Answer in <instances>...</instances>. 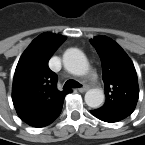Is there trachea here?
Returning a JSON list of instances; mask_svg holds the SVG:
<instances>
[{
  "instance_id": "1",
  "label": "trachea",
  "mask_w": 145,
  "mask_h": 145,
  "mask_svg": "<svg viewBox=\"0 0 145 145\" xmlns=\"http://www.w3.org/2000/svg\"><path fill=\"white\" fill-rule=\"evenodd\" d=\"M82 87L81 84H79L77 81L75 80H68L63 88H79Z\"/></svg>"
}]
</instances>
